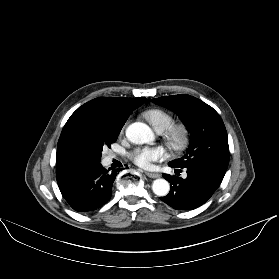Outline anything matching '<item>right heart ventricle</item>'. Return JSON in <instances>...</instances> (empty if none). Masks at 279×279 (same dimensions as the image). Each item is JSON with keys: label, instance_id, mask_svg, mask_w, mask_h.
<instances>
[{"label": "right heart ventricle", "instance_id": "1", "mask_svg": "<svg viewBox=\"0 0 279 279\" xmlns=\"http://www.w3.org/2000/svg\"><path fill=\"white\" fill-rule=\"evenodd\" d=\"M144 115L154 129L159 132L165 131L174 123L173 116L162 109H150Z\"/></svg>", "mask_w": 279, "mask_h": 279}]
</instances>
